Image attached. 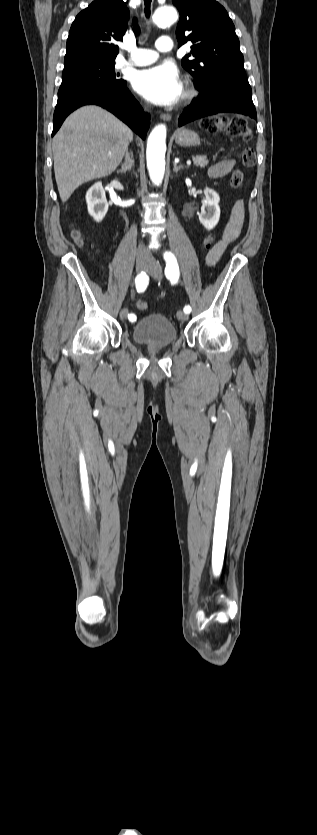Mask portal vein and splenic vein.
Wrapping results in <instances>:
<instances>
[{
	"instance_id": "18ae733b",
	"label": "portal vein and splenic vein",
	"mask_w": 317,
	"mask_h": 835,
	"mask_svg": "<svg viewBox=\"0 0 317 835\" xmlns=\"http://www.w3.org/2000/svg\"><path fill=\"white\" fill-rule=\"evenodd\" d=\"M190 163H191V161H190V160H188V161H187V164H190Z\"/></svg>"
}]
</instances>
